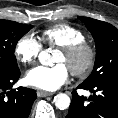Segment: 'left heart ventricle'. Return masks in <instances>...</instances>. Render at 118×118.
Here are the masks:
<instances>
[{
	"mask_svg": "<svg viewBox=\"0 0 118 118\" xmlns=\"http://www.w3.org/2000/svg\"><path fill=\"white\" fill-rule=\"evenodd\" d=\"M85 61L84 55H79L74 58L67 57L64 53L59 51L54 59L55 63H62L64 64L69 70L75 67L81 66Z\"/></svg>",
	"mask_w": 118,
	"mask_h": 118,
	"instance_id": "1",
	"label": "left heart ventricle"
}]
</instances>
